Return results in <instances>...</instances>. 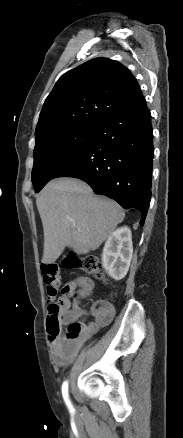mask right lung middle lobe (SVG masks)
Instances as JSON below:
<instances>
[{"label": "right lung middle lobe", "instance_id": "dd1d6c3e", "mask_svg": "<svg viewBox=\"0 0 183 438\" xmlns=\"http://www.w3.org/2000/svg\"><path fill=\"white\" fill-rule=\"evenodd\" d=\"M96 126L79 125L58 129L36 139L32 183L39 192L90 142Z\"/></svg>", "mask_w": 183, "mask_h": 438}]
</instances>
